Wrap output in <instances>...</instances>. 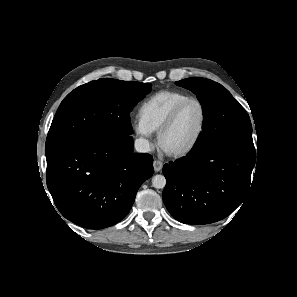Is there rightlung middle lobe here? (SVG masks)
I'll return each instance as SVG.
<instances>
[{
    "instance_id": "dd1d6c3e",
    "label": "right lung middle lobe",
    "mask_w": 297,
    "mask_h": 297,
    "mask_svg": "<svg viewBox=\"0 0 297 297\" xmlns=\"http://www.w3.org/2000/svg\"><path fill=\"white\" fill-rule=\"evenodd\" d=\"M151 90L150 83L104 78L70 92L61 102L46 139V157L87 140L130 136V112Z\"/></svg>"
}]
</instances>
